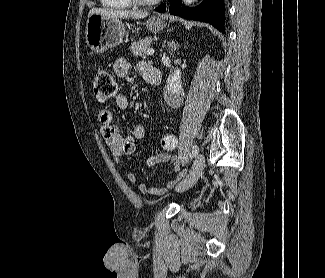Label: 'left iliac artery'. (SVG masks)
I'll return each instance as SVG.
<instances>
[{
	"instance_id": "left-iliac-artery-1",
	"label": "left iliac artery",
	"mask_w": 325,
	"mask_h": 278,
	"mask_svg": "<svg viewBox=\"0 0 325 278\" xmlns=\"http://www.w3.org/2000/svg\"><path fill=\"white\" fill-rule=\"evenodd\" d=\"M198 150H199L198 146L197 145H194L193 148H192V150H191L190 157L191 158L194 157L198 153Z\"/></svg>"
}]
</instances>
